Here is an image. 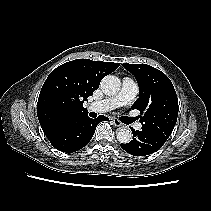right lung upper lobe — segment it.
<instances>
[{
    "instance_id": "obj_1",
    "label": "right lung upper lobe",
    "mask_w": 211,
    "mask_h": 211,
    "mask_svg": "<svg viewBox=\"0 0 211 211\" xmlns=\"http://www.w3.org/2000/svg\"><path fill=\"white\" fill-rule=\"evenodd\" d=\"M118 67V63L76 59L54 69L42 86L37 104L44 134L66 119L87 115L83 102Z\"/></svg>"
}]
</instances>
